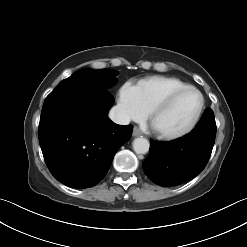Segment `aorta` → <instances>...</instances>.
<instances>
[{
    "instance_id": "762f6f07",
    "label": "aorta",
    "mask_w": 247,
    "mask_h": 247,
    "mask_svg": "<svg viewBox=\"0 0 247 247\" xmlns=\"http://www.w3.org/2000/svg\"><path fill=\"white\" fill-rule=\"evenodd\" d=\"M133 150L137 154H146L149 151V141L143 137H138L134 139Z\"/></svg>"
}]
</instances>
